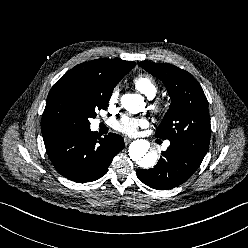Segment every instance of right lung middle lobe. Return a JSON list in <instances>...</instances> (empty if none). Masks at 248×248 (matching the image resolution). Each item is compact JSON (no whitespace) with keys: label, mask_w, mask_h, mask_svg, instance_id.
I'll list each match as a JSON object with an SVG mask.
<instances>
[{"label":"right lung middle lobe","mask_w":248,"mask_h":248,"mask_svg":"<svg viewBox=\"0 0 248 248\" xmlns=\"http://www.w3.org/2000/svg\"><path fill=\"white\" fill-rule=\"evenodd\" d=\"M113 88L99 79L55 84L42 116V133L89 129V120L96 117L97 110L107 107Z\"/></svg>","instance_id":"1"}]
</instances>
